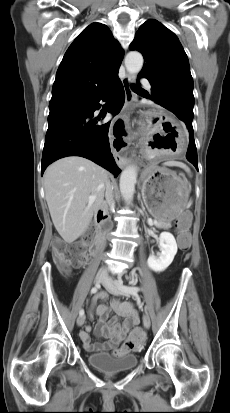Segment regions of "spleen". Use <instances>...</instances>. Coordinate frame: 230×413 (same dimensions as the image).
<instances>
[{
	"label": "spleen",
	"instance_id": "1",
	"mask_svg": "<svg viewBox=\"0 0 230 413\" xmlns=\"http://www.w3.org/2000/svg\"><path fill=\"white\" fill-rule=\"evenodd\" d=\"M165 166H176V167H180L182 169H184L188 174H190V169L189 167L182 163V162H177V161H168L164 163Z\"/></svg>",
	"mask_w": 230,
	"mask_h": 413
}]
</instances>
